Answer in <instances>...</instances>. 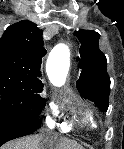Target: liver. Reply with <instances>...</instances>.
I'll return each instance as SVG.
<instances>
[{
    "instance_id": "obj_1",
    "label": "liver",
    "mask_w": 124,
    "mask_h": 149,
    "mask_svg": "<svg viewBox=\"0 0 124 149\" xmlns=\"http://www.w3.org/2000/svg\"><path fill=\"white\" fill-rule=\"evenodd\" d=\"M57 137L51 135H35L22 138L3 146L2 149H42L56 143ZM57 149H83L82 146L70 140H63L56 146Z\"/></svg>"
}]
</instances>
